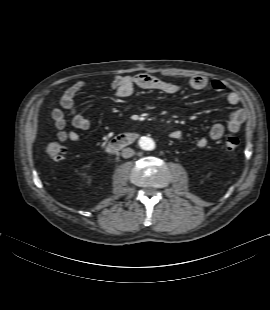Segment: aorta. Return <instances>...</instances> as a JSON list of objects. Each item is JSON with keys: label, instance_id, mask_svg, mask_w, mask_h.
<instances>
[{"label": "aorta", "instance_id": "762f6f07", "mask_svg": "<svg viewBox=\"0 0 270 310\" xmlns=\"http://www.w3.org/2000/svg\"><path fill=\"white\" fill-rule=\"evenodd\" d=\"M139 145L144 150H153L155 148L154 141L149 137H141L139 140Z\"/></svg>", "mask_w": 270, "mask_h": 310}]
</instances>
